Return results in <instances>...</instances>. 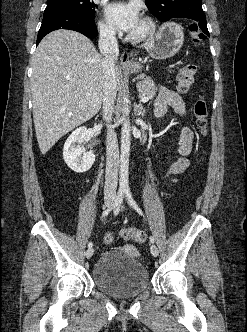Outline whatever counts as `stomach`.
<instances>
[{
    "mask_svg": "<svg viewBox=\"0 0 247 332\" xmlns=\"http://www.w3.org/2000/svg\"><path fill=\"white\" fill-rule=\"evenodd\" d=\"M184 33L182 27L176 23H165L158 32L148 40L145 48L154 59L164 60L176 55L183 45ZM142 65L137 63L133 68L126 71L139 73Z\"/></svg>",
    "mask_w": 247,
    "mask_h": 332,
    "instance_id": "1",
    "label": "stomach"
}]
</instances>
